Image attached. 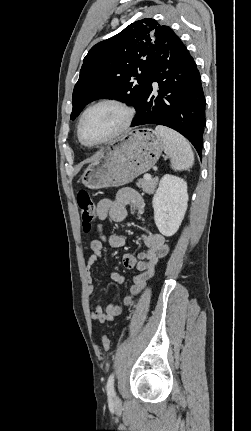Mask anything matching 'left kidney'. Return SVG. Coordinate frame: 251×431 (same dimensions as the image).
<instances>
[{"mask_svg": "<svg viewBox=\"0 0 251 431\" xmlns=\"http://www.w3.org/2000/svg\"><path fill=\"white\" fill-rule=\"evenodd\" d=\"M187 202L186 181L174 175H164L152 201L155 224L161 234L170 237L177 232L187 210Z\"/></svg>", "mask_w": 251, "mask_h": 431, "instance_id": "1", "label": "left kidney"}]
</instances>
